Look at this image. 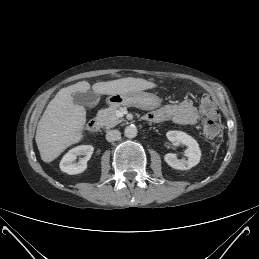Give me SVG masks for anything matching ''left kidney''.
Segmentation results:
<instances>
[{"mask_svg":"<svg viewBox=\"0 0 259 259\" xmlns=\"http://www.w3.org/2000/svg\"><path fill=\"white\" fill-rule=\"evenodd\" d=\"M167 138L171 142H179L187 146L185 155L187 160H179L176 154L168 153L164 156L165 162L172 168L178 170H188L196 166L200 162L201 151L197 141L182 131H168L166 134Z\"/></svg>","mask_w":259,"mask_h":259,"instance_id":"1","label":"left kidney"}]
</instances>
